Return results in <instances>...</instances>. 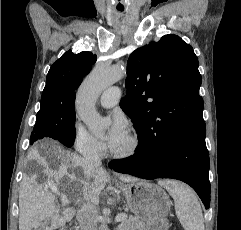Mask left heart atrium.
Here are the masks:
<instances>
[{
	"label": "left heart atrium",
	"mask_w": 241,
	"mask_h": 230,
	"mask_svg": "<svg viewBox=\"0 0 241 230\" xmlns=\"http://www.w3.org/2000/svg\"><path fill=\"white\" fill-rule=\"evenodd\" d=\"M127 135V121L125 117L119 113L114 114L112 124L106 136L107 145L114 150Z\"/></svg>",
	"instance_id": "1"
}]
</instances>
